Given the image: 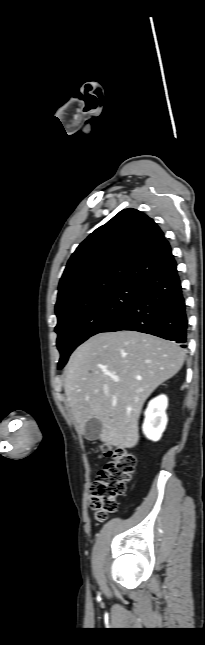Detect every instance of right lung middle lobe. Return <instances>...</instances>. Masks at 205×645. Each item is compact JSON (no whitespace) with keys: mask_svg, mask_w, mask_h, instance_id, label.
<instances>
[{"mask_svg":"<svg viewBox=\"0 0 205 645\" xmlns=\"http://www.w3.org/2000/svg\"><path fill=\"white\" fill-rule=\"evenodd\" d=\"M138 284H123L111 290L81 298L56 313L57 347L61 358L58 369L67 363L71 352L89 337L100 333L136 300Z\"/></svg>","mask_w":205,"mask_h":645,"instance_id":"1","label":"right lung middle lobe"}]
</instances>
